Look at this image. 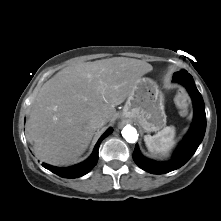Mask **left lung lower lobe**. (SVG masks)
<instances>
[{"instance_id": "1", "label": "left lung lower lobe", "mask_w": 221, "mask_h": 221, "mask_svg": "<svg viewBox=\"0 0 221 221\" xmlns=\"http://www.w3.org/2000/svg\"><path fill=\"white\" fill-rule=\"evenodd\" d=\"M173 81L181 83L188 90L194 106V120L188 134L176 149L172 160L168 162L162 163L147 159L140 153L136 144L133 153L135 163L152 174H164L182 167L197 150L206 130L205 105L192 76L189 73H178L173 77Z\"/></svg>"}]
</instances>
